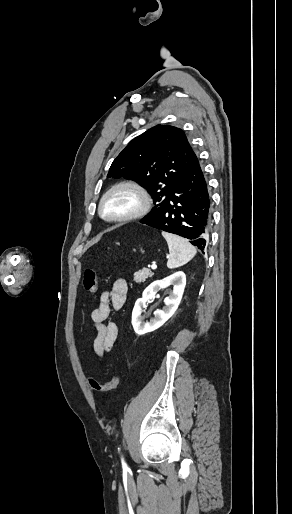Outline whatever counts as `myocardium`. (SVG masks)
<instances>
[{"mask_svg": "<svg viewBox=\"0 0 292 514\" xmlns=\"http://www.w3.org/2000/svg\"><path fill=\"white\" fill-rule=\"evenodd\" d=\"M126 192L134 196L135 204L128 211L117 214L107 215L105 212L108 201L118 193ZM150 207V198L146 190L139 184L134 182H121L113 185L102 196L99 202V215L102 219L108 222H125L138 218L145 214Z\"/></svg>", "mask_w": 292, "mask_h": 514, "instance_id": "1", "label": "myocardium"}]
</instances>
